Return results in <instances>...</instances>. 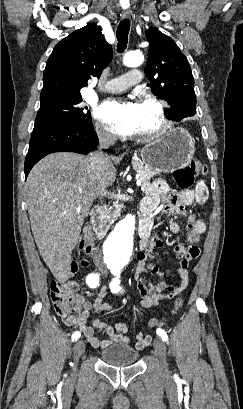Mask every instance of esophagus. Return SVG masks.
<instances>
[{"label":"esophagus","mask_w":243,"mask_h":409,"mask_svg":"<svg viewBox=\"0 0 243 409\" xmlns=\"http://www.w3.org/2000/svg\"><path fill=\"white\" fill-rule=\"evenodd\" d=\"M131 16V11L130 10H124L121 14L122 19H128Z\"/></svg>","instance_id":"34e87169"}]
</instances>
